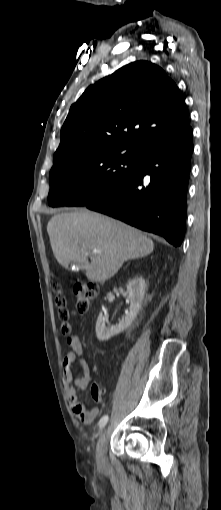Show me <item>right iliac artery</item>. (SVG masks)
<instances>
[{"mask_svg": "<svg viewBox=\"0 0 221 510\" xmlns=\"http://www.w3.org/2000/svg\"><path fill=\"white\" fill-rule=\"evenodd\" d=\"M107 421H108V415H104V416L100 419V421H99V423H98L99 428H100V429L104 428V426L106 425Z\"/></svg>", "mask_w": 221, "mask_h": 510, "instance_id": "obj_1", "label": "right iliac artery"}]
</instances>
